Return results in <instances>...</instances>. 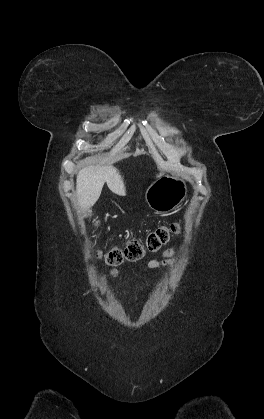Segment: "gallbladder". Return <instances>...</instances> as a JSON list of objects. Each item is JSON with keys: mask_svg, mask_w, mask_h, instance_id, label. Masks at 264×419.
Segmentation results:
<instances>
[{"mask_svg": "<svg viewBox=\"0 0 264 419\" xmlns=\"http://www.w3.org/2000/svg\"><path fill=\"white\" fill-rule=\"evenodd\" d=\"M91 214V212L90 211H88V214L87 215H90Z\"/></svg>", "mask_w": 264, "mask_h": 419, "instance_id": "gallbladder-1", "label": "gallbladder"}]
</instances>
